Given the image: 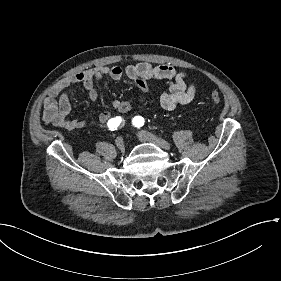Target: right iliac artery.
I'll list each match as a JSON object with an SVG mask.
<instances>
[{
    "label": "right iliac artery",
    "instance_id": "obj_1",
    "mask_svg": "<svg viewBox=\"0 0 281 281\" xmlns=\"http://www.w3.org/2000/svg\"><path fill=\"white\" fill-rule=\"evenodd\" d=\"M122 118L121 117H119V116H117V117H114V118H112V119H110L109 121H108V128L110 129V130H117V128L120 126V127H122L123 126V123H122Z\"/></svg>",
    "mask_w": 281,
    "mask_h": 281
}]
</instances>
